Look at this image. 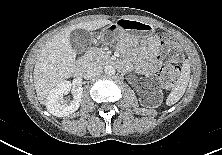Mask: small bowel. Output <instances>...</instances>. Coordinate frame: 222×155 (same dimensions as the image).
I'll return each instance as SVG.
<instances>
[{
  "label": "small bowel",
  "instance_id": "1",
  "mask_svg": "<svg viewBox=\"0 0 222 155\" xmlns=\"http://www.w3.org/2000/svg\"><path fill=\"white\" fill-rule=\"evenodd\" d=\"M157 52H158L157 40L155 38H152L148 41V45L144 50V53H145L146 58H147V62L144 63L143 66L155 68Z\"/></svg>",
  "mask_w": 222,
  "mask_h": 155
}]
</instances>
